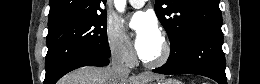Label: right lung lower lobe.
I'll return each instance as SVG.
<instances>
[{"mask_svg": "<svg viewBox=\"0 0 260 84\" xmlns=\"http://www.w3.org/2000/svg\"><path fill=\"white\" fill-rule=\"evenodd\" d=\"M108 64V58H101L91 55L77 57L65 63L51 78H45L44 84H55L63 75L79 67L106 66Z\"/></svg>", "mask_w": 260, "mask_h": 84, "instance_id": "98d812e1", "label": "right lung lower lobe"}]
</instances>
